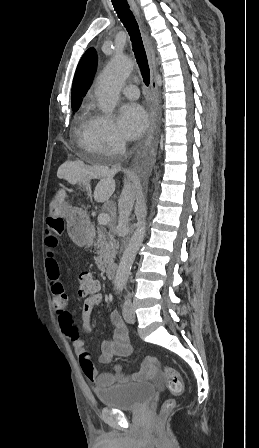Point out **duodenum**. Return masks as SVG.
I'll return each mask as SVG.
<instances>
[{
  "label": "duodenum",
  "instance_id": "1",
  "mask_svg": "<svg viewBox=\"0 0 259 448\" xmlns=\"http://www.w3.org/2000/svg\"><path fill=\"white\" fill-rule=\"evenodd\" d=\"M117 268H118L117 264L114 263L108 264L104 269L106 277L111 280L115 279L117 274Z\"/></svg>",
  "mask_w": 259,
  "mask_h": 448
}]
</instances>
